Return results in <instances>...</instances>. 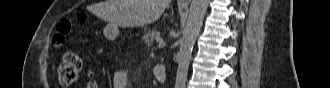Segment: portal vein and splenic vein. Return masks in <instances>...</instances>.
Returning a JSON list of instances; mask_svg holds the SVG:
<instances>
[{"label": "portal vein and splenic vein", "mask_w": 330, "mask_h": 88, "mask_svg": "<svg viewBox=\"0 0 330 88\" xmlns=\"http://www.w3.org/2000/svg\"><path fill=\"white\" fill-rule=\"evenodd\" d=\"M158 42H159L158 43L159 48L165 47L166 43L162 39H159Z\"/></svg>", "instance_id": "18ae733b"}]
</instances>
